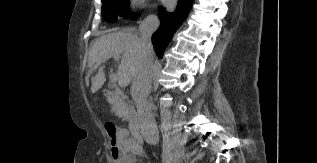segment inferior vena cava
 <instances>
[{
    "instance_id": "602c4592",
    "label": "inferior vena cava",
    "mask_w": 317,
    "mask_h": 163,
    "mask_svg": "<svg viewBox=\"0 0 317 163\" xmlns=\"http://www.w3.org/2000/svg\"><path fill=\"white\" fill-rule=\"evenodd\" d=\"M159 27L156 15L147 16L139 25L142 45V63L132 83V97L137 108L139 127L145 141L155 145L159 142V132L152 113L148 96L151 88L153 46L151 36Z\"/></svg>"
}]
</instances>
